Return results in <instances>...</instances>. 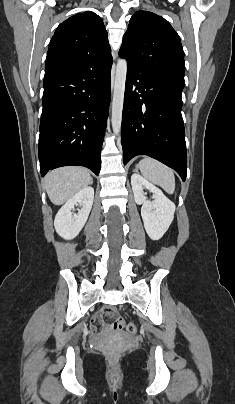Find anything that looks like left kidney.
Segmentation results:
<instances>
[{
    "instance_id": "obj_1",
    "label": "left kidney",
    "mask_w": 235,
    "mask_h": 404,
    "mask_svg": "<svg viewBox=\"0 0 235 404\" xmlns=\"http://www.w3.org/2000/svg\"><path fill=\"white\" fill-rule=\"evenodd\" d=\"M131 185L134 199L137 204H142L141 216L145 230L152 240H159L168 230L174 218L175 205L163 192L144 179L140 174L131 176ZM153 193V201L148 200L143 189Z\"/></svg>"
}]
</instances>
